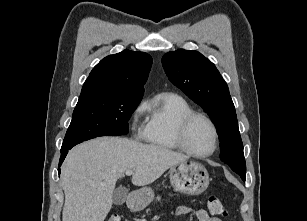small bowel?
Masks as SVG:
<instances>
[{
    "label": "small bowel",
    "mask_w": 307,
    "mask_h": 221,
    "mask_svg": "<svg viewBox=\"0 0 307 221\" xmlns=\"http://www.w3.org/2000/svg\"><path fill=\"white\" fill-rule=\"evenodd\" d=\"M190 208L184 205H180L175 209V214L180 216V215H185L190 212ZM196 217L198 221H222L218 217H214L208 214V212L204 209H200L196 211Z\"/></svg>",
    "instance_id": "1"
}]
</instances>
